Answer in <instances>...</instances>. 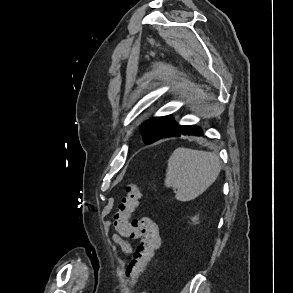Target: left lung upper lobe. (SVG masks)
I'll return each mask as SVG.
<instances>
[{
    "mask_svg": "<svg viewBox=\"0 0 293 293\" xmlns=\"http://www.w3.org/2000/svg\"><path fill=\"white\" fill-rule=\"evenodd\" d=\"M176 125L177 123L171 115L151 118L141 126L143 140L146 144H151L154 141L165 137V135L173 130Z\"/></svg>",
    "mask_w": 293,
    "mask_h": 293,
    "instance_id": "obj_1",
    "label": "left lung upper lobe"
}]
</instances>
